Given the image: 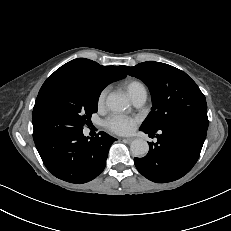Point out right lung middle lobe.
I'll use <instances>...</instances> for the list:
<instances>
[{"label": "right lung middle lobe", "mask_w": 231, "mask_h": 231, "mask_svg": "<svg viewBox=\"0 0 231 231\" xmlns=\"http://www.w3.org/2000/svg\"><path fill=\"white\" fill-rule=\"evenodd\" d=\"M105 86L89 75L44 82L32 114L33 138L52 139L82 131L97 112L98 98Z\"/></svg>", "instance_id": "1"}]
</instances>
